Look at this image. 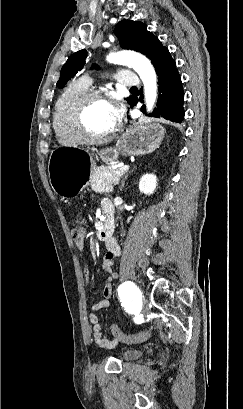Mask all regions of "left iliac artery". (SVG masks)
<instances>
[{
  "instance_id": "1",
  "label": "left iliac artery",
  "mask_w": 243,
  "mask_h": 409,
  "mask_svg": "<svg viewBox=\"0 0 243 409\" xmlns=\"http://www.w3.org/2000/svg\"><path fill=\"white\" fill-rule=\"evenodd\" d=\"M118 293L120 298H124L125 296H128L132 299L133 303L136 305L139 304L138 299L136 301V297L139 296V299L141 298V293L140 290L135 286L133 282H125L118 288Z\"/></svg>"
}]
</instances>
